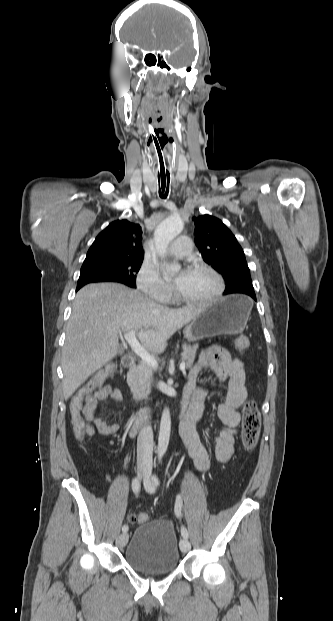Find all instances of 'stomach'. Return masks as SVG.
Returning a JSON list of instances; mask_svg holds the SVG:
<instances>
[{
	"label": "stomach",
	"instance_id": "obj_1",
	"mask_svg": "<svg viewBox=\"0 0 333 621\" xmlns=\"http://www.w3.org/2000/svg\"><path fill=\"white\" fill-rule=\"evenodd\" d=\"M253 303L243 295L227 296L206 305L200 315L189 324V341L221 334H235L247 322Z\"/></svg>",
	"mask_w": 333,
	"mask_h": 621
}]
</instances>
